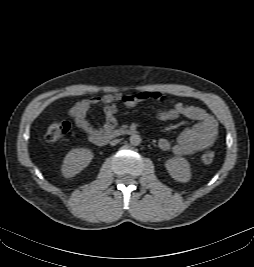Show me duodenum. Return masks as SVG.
Here are the masks:
<instances>
[{
    "label": "duodenum",
    "instance_id": "1",
    "mask_svg": "<svg viewBox=\"0 0 254 267\" xmlns=\"http://www.w3.org/2000/svg\"><path fill=\"white\" fill-rule=\"evenodd\" d=\"M135 131L130 128L116 129V130H107L93 134L90 137V140L93 144L97 146H104L108 143L109 140L125 135H132Z\"/></svg>",
    "mask_w": 254,
    "mask_h": 267
}]
</instances>
